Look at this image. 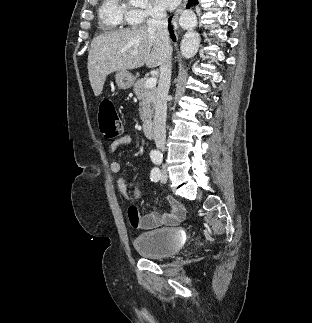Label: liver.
Segmentation results:
<instances>
[{
  "label": "liver",
  "mask_w": 312,
  "mask_h": 323,
  "mask_svg": "<svg viewBox=\"0 0 312 323\" xmlns=\"http://www.w3.org/2000/svg\"><path fill=\"white\" fill-rule=\"evenodd\" d=\"M161 48L157 30L150 26L105 32L91 42L88 74L94 96H100L108 74L120 70H135L146 64L157 68Z\"/></svg>",
  "instance_id": "1"
}]
</instances>
